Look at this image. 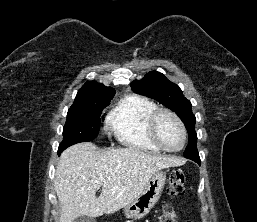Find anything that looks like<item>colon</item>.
Segmentation results:
<instances>
[{
  "label": "colon",
  "mask_w": 257,
  "mask_h": 222,
  "mask_svg": "<svg viewBox=\"0 0 257 222\" xmlns=\"http://www.w3.org/2000/svg\"><path fill=\"white\" fill-rule=\"evenodd\" d=\"M186 175L182 169H174L171 171L168 179L167 194L175 199L184 195ZM157 222H178L176 211L171 205L164 208L159 215Z\"/></svg>",
  "instance_id": "1"
}]
</instances>
